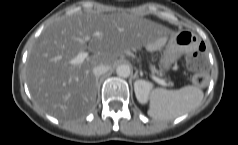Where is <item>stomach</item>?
<instances>
[{"label":"stomach","mask_w":238,"mask_h":145,"mask_svg":"<svg viewBox=\"0 0 238 145\" xmlns=\"http://www.w3.org/2000/svg\"><path fill=\"white\" fill-rule=\"evenodd\" d=\"M195 43L196 38L191 32H180L172 35L160 59L159 66L161 70H168L170 65L177 59L178 54L191 51Z\"/></svg>","instance_id":"stomach-1"}]
</instances>
